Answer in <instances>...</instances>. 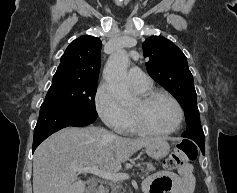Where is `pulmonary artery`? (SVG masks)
I'll return each instance as SVG.
<instances>
[{
  "label": "pulmonary artery",
  "instance_id": "e3ab8cb5",
  "mask_svg": "<svg viewBox=\"0 0 237 193\" xmlns=\"http://www.w3.org/2000/svg\"><path fill=\"white\" fill-rule=\"evenodd\" d=\"M128 79L136 90H144L151 87V79L140 69H131L128 73Z\"/></svg>",
  "mask_w": 237,
  "mask_h": 193
}]
</instances>
